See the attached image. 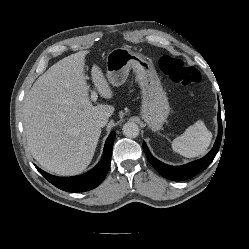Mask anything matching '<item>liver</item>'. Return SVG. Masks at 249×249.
<instances>
[{
    "label": "liver",
    "mask_w": 249,
    "mask_h": 249,
    "mask_svg": "<svg viewBox=\"0 0 249 249\" xmlns=\"http://www.w3.org/2000/svg\"><path fill=\"white\" fill-rule=\"evenodd\" d=\"M87 53L79 51L55 63L24 98L22 114L29 151L46 171L60 176L77 175L87 168L101 134L96 120L109 118L115 110L90 101L84 73ZM92 81L101 97L112 98L96 64Z\"/></svg>",
    "instance_id": "obj_1"
}]
</instances>
